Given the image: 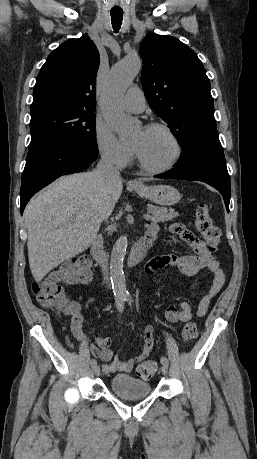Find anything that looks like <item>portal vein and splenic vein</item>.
I'll use <instances>...</instances> for the list:
<instances>
[{"label": "portal vein and splenic vein", "instance_id": "1", "mask_svg": "<svg viewBox=\"0 0 257 459\" xmlns=\"http://www.w3.org/2000/svg\"><path fill=\"white\" fill-rule=\"evenodd\" d=\"M144 218H145L147 221H149V220H151L152 217L150 216V214L147 213V214H144Z\"/></svg>", "mask_w": 257, "mask_h": 459}]
</instances>
